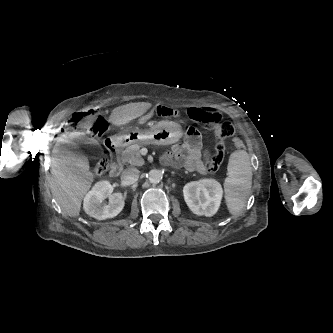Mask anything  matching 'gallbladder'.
<instances>
[{
    "label": "gallbladder",
    "mask_w": 333,
    "mask_h": 333,
    "mask_svg": "<svg viewBox=\"0 0 333 333\" xmlns=\"http://www.w3.org/2000/svg\"><path fill=\"white\" fill-rule=\"evenodd\" d=\"M75 142L80 145H84L87 148V151L94 156L99 152L98 141L94 138H89L86 135H80L74 138Z\"/></svg>",
    "instance_id": "gallbladder-1"
}]
</instances>
